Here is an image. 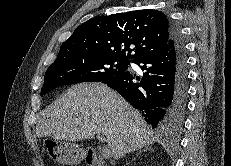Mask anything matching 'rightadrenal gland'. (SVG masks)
Listing matches in <instances>:
<instances>
[{
    "label": "right adrenal gland",
    "instance_id": "obj_1",
    "mask_svg": "<svg viewBox=\"0 0 231 166\" xmlns=\"http://www.w3.org/2000/svg\"><path fill=\"white\" fill-rule=\"evenodd\" d=\"M152 148L150 146H145L142 150H140L136 156H138L141 152H144V151H151ZM135 160V158L133 159Z\"/></svg>",
    "mask_w": 231,
    "mask_h": 166
}]
</instances>
